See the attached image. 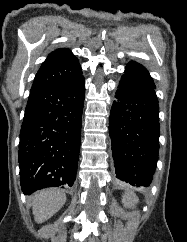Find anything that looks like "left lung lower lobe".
Segmentation results:
<instances>
[{
    "label": "left lung lower lobe",
    "instance_id": "obj_1",
    "mask_svg": "<svg viewBox=\"0 0 187 242\" xmlns=\"http://www.w3.org/2000/svg\"><path fill=\"white\" fill-rule=\"evenodd\" d=\"M154 89L122 75L110 113L116 177L135 187H148L157 166L160 125Z\"/></svg>",
    "mask_w": 187,
    "mask_h": 242
}]
</instances>
